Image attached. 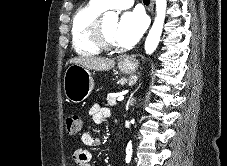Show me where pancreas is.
Wrapping results in <instances>:
<instances>
[{"label":"pancreas","instance_id":"cf45deb5","mask_svg":"<svg viewBox=\"0 0 227 166\" xmlns=\"http://www.w3.org/2000/svg\"><path fill=\"white\" fill-rule=\"evenodd\" d=\"M107 105L108 106L116 105V97L115 96H108L107 97Z\"/></svg>","mask_w":227,"mask_h":166}]
</instances>
